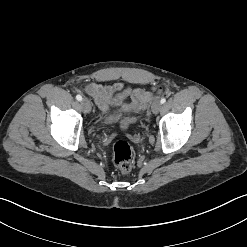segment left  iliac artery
Wrapping results in <instances>:
<instances>
[{
    "label": "left iliac artery",
    "instance_id": "obj_1",
    "mask_svg": "<svg viewBox=\"0 0 247 247\" xmlns=\"http://www.w3.org/2000/svg\"><path fill=\"white\" fill-rule=\"evenodd\" d=\"M162 104H164L166 102V99L165 98H162L161 101H160Z\"/></svg>",
    "mask_w": 247,
    "mask_h": 247
}]
</instances>
